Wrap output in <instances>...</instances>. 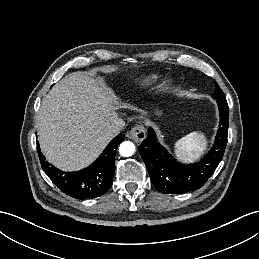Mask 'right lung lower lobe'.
<instances>
[{"instance_id":"right-lung-lower-lobe-1","label":"right lung lower lobe","mask_w":259,"mask_h":259,"mask_svg":"<svg viewBox=\"0 0 259 259\" xmlns=\"http://www.w3.org/2000/svg\"><path fill=\"white\" fill-rule=\"evenodd\" d=\"M124 138L122 134L115 137L93 164L78 172H63L55 168L46 161L38 144L37 150L44 172L61 191L73 198H96L105 194L112 185L116 149Z\"/></svg>"}]
</instances>
